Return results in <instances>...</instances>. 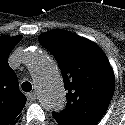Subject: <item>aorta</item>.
<instances>
[{
    "label": "aorta",
    "mask_w": 125,
    "mask_h": 125,
    "mask_svg": "<svg viewBox=\"0 0 125 125\" xmlns=\"http://www.w3.org/2000/svg\"><path fill=\"white\" fill-rule=\"evenodd\" d=\"M24 62L32 71L41 106L47 111H60L66 103L63 81L53 60L40 51H27Z\"/></svg>",
    "instance_id": "1"
}]
</instances>
